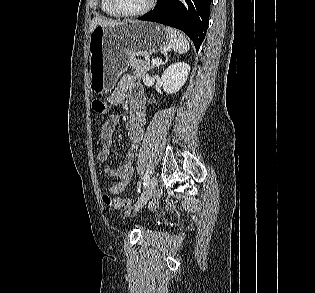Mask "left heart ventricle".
I'll return each mask as SVG.
<instances>
[{
    "label": "left heart ventricle",
    "mask_w": 315,
    "mask_h": 293,
    "mask_svg": "<svg viewBox=\"0 0 315 293\" xmlns=\"http://www.w3.org/2000/svg\"><path fill=\"white\" fill-rule=\"evenodd\" d=\"M149 0H119L121 7L127 11L140 10L147 5Z\"/></svg>",
    "instance_id": "obj_1"
}]
</instances>
